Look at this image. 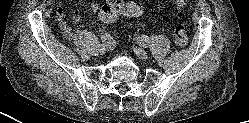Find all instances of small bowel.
<instances>
[{
	"mask_svg": "<svg viewBox=\"0 0 249 123\" xmlns=\"http://www.w3.org/2000/svg\"><path fill=\"white\" fill-rule=\"evenodd\" d=\"M113 2H120V1H115V0H105V3H113ZM90 8L92 10V12L97 13L99 12V4L96 1H92L90 3ZM72 20L74 22H79L81 20V14L79 11H74L72 13ZM56 18L59 21V26L61 31L63 32V34H65L66 36H69L71 34V28L67 25L66 21H65V15L64 12L59 9L56 13Z\"/></svg>",
	"mask_w": 249,
	"mask_h": 123,
	"instance_id": "obj_1",
	"label": "small bowel"
}]
</instances>
